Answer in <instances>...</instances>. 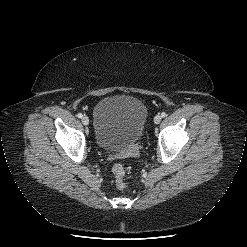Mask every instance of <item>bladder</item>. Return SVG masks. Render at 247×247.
Segmentation results:
<instances>
[{"instance_id":"obj_1","label":"bladder","mask_w":247,"mask_h":247,"mask_svg":"<svg viewBox=\"0 0 247 247\" xmlns=\"http://www.w3.org/2000/svg\"><path fill=\"white\" fill-rule=\"evenodd\" d=\"M147 108L133 96L114 95L101 99L94 108V141L107 152L129 155L143 136Z\"/></svg>"}]
</instances>
